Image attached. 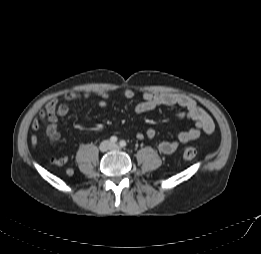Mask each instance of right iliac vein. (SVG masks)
I'll list each match as a JSON object with an SVG mask.
<instances>
[{"mask_svg": "<svg viewBox=\"0 0 261 254\" xmlns=\"http://www.w3.org/2000/svg\"><path fill=\"white\" fill-rule=\"evenodd\" d=\"M100 150L102 152H106L108 151L109 149H111V143L109 141H103L100 146H99Z\"/></svg>", "mask_w": 261, "mask_h": 254, "instance_id": "63e3f726", "label": "right iliac vein"}]
</instances>
